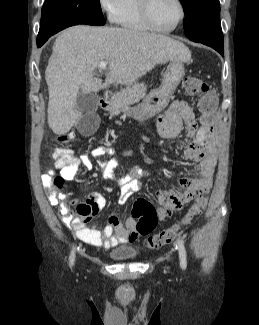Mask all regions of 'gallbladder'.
<instances>
[{"instance_id": "1", "label": "gallbladder", "mask_w": 259, "mask_h": 325, "mask_svg": "<svg viewBox=\"0 0 259 325\" xmlns=\"http://www.w3.org/2000/svg\"><path fill=\"white\" fill-rule=\"evenodd\" d=\"M76 107L85 112L78 122L77 128L81 136H94V132L99 127L100 118L96 113L98 107V97L93 94L79 93L76 100Z\"/></svg>"}]
</instances>
